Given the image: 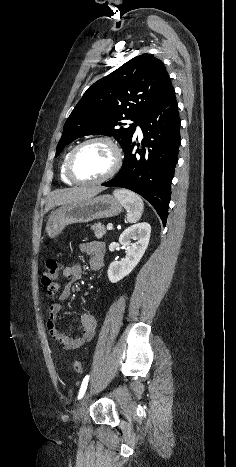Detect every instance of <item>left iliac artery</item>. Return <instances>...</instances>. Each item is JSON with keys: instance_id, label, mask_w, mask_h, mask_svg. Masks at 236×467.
<instances>
[{"instance_id": "left-iliac-artery-1", "label": "left iliac artery", "mask_w": 236, "mask_h": 467, "mask_svg": "<svg viewBox=\"0 0 236 467\" xmlns=\"http://www.w3.org/2000/svg\"><path fill=\"white\" fill-rule=\"evenodd\" d=\"M88 381H89V375L85 376V378L82 381L79 394H78V399H81L84 396L85 391L87 389Z\"/></svg>"}]
</instances>
